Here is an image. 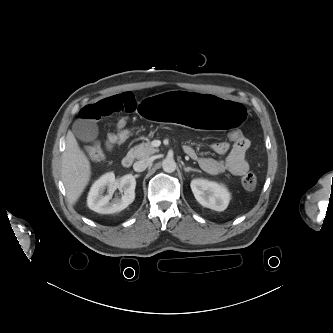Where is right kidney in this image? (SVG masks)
Masks as SVG:
<instances>
[{
    "label": "right kidney",
    "instance_id": "1",
    "mask_svg": "<svg viewBox=\"0 0 333 333\" xmlns=\"http://www.w3.org/2000/svg\"><path fill=\"white\" fill-rule=\"evenodd\" d=\"M114 183L115 175L106 173L92 185L87 198V204L91 210L101 214H111L122 211L134 201L136 180L133 175L127 174L121 177L119 188L124 192V195L110 201L115 189ZM106 186L108 194L103 195Z\"/></svg>",
    "mask_w": 333,
    "mask_h": 333
}]
</instances>
